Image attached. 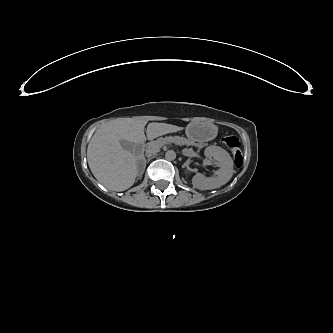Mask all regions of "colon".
<instances>
[{
	"label": "colon",
	"mask_w": 333,
	"mask_h": 333,
	"mask_svg": "<svg viewBox=\"0 0 333 333\" xmlns=\"http://www.w3.org/2000/svg\"><path fill=\"white\" fill-rule=\"evenodd\" d=\"M221 143L230 149L235 166L241 167L243 163V156L239 139L235 136H225L221 139Z\"/></svg>",
	"instance_id": "obj_1"
}]
</instances>
